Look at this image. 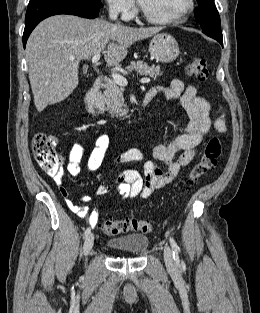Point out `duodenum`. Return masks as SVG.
I'll return each mask as SVG.
<instances>
[{
  "label": "duodenum",
  "mask_w": 260,
  "mask_h": 313,
  "mask_svg": "<svg viewBox=\"0 0 260 313\" xmlns=\"http://www.w3.org/2000/svg\"><path fill=\"white\" fill-rule=\"evenodd\" d=\"M103 83L104 79L102 77H98L92 86L87 90L84 97L86 111L95 118H103L105 116L104 110L98 106L99 94ZM150 101L151 99L147 96L143 101V108L146 107Z\"/></svg>",
  "instance_id": "1"
}]
</instances>
